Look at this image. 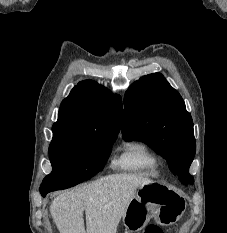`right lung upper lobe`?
<instances>
[{"instance_id":"cb5924a9","label":"right lung upper lobe","mask_w":227,"mask_h":233,"mask_svg":"<svg viewBox=\"0 0 227 233\" xmlns=\"http://www.w3.org/2000/svg\"><path fill=\"white\" fill-rule=\"evenodd\" d=\"M122 120V100L92 80L78 83L60 106L54 135L105 137L118 134Z\"/></svg>"}]
</instances>
